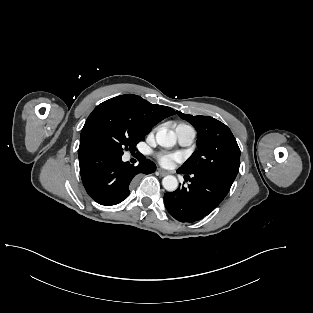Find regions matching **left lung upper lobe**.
<instances>
[{
    "label": "left lung upper lobe",
    "mask_w": 313,
    "mask_h": 313,
    "mask_svg": "<svg viewBox=\"0 0 313 313\" xmlns=\"http://www.w3.org/2000/svg\"><path fill=\"white\" fill-rule=\"evenodd\" d=\"M178 115L197 130V147L180 167L187 174H216L235 179L240 166V149L230 129L209 116Z\"/></svg>",
    "instance_id": "obj_1"
}]
</instances>
